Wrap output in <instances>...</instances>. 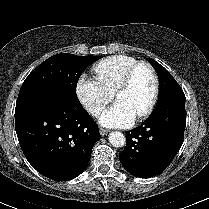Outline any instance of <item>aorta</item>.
<instances>
[{"mask_svg":"<svg viewBox=\"0 0 209 209\" xmlns=\"http://www.w3.org/2000/svg\"><path fill=\"white\" fill-rule=\"evenodd\" d=\"M108 139L114 147H122L126 142L124 134L119 131L111 132Z\"/></svg>","mask_w":209,"mask_h":209,"instance_id":"obj_1","label":"aorta"}]
</instances>
